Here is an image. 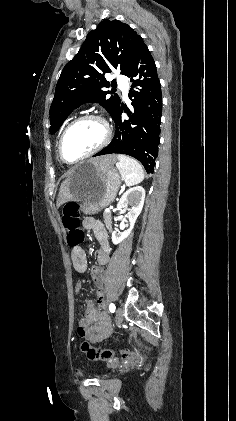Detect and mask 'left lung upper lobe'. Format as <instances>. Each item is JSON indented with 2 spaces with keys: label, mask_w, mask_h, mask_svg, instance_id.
<instances>
[{
  "label": "left lung upper lobe",
  "mask_w": 236,
  "mask_h": 421,
  "mask_svg": "<svg viewBox=\"0 0 236 421\" xmlns=\"http://www.w3.org/2000/svg\"><path fill=\"white\" fill-rule=\"evenodd\" d=\"M144 44L141 36L119 20H103L89 32L83 46L68 62L57 82L50 107V133L54 134L64 120L85 102H96L113 117L121 99L105 91L113 85L104 74L120 69L125 75L139 47Z\"/></svg>",
  "instance_id": "1"
}]
</instances>
